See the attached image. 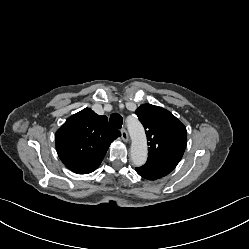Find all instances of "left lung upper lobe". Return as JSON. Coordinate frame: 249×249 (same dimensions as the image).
I'll use <instances>...</instances> for the list:
<instances>
[{"label": "left lung upper lobe", "instance_id": "obj_1", "mask_svg": "<svg viewBox=\"0 0 249 249\" xmlns=\"http://www.w3.org/2000/svg\"><path fill=\"white\" fill-rule=\"evenodd\" d=\"M148 140V159L142 171L158 178L169 174L181 160L187 143V131L168 110L143 104L136 110Z\"/></svg>", "mask_w": 249, "mask_h": 249}]
</instances>
